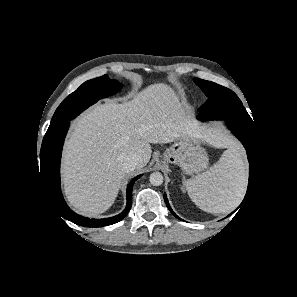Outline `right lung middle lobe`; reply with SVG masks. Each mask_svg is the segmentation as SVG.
Here are the masks:
<instances>
[{"label": "right lung middle lobe", "instance_id": "dd1d6c3e", "mask_svg": "<svg viewBox=\"0 0 297 297\" xmlns=\"http://www.w3.org/2000/svg\"><path fill=\"white\" fill-rule=\"evenodd\" d=\"M120 88L121 84L109 79L108 75L84 82L58 106L46 133L60 129L90 105L101 98L115 94Z\"/></svg>", "mask_w": 297, "mask_h": 297}]
</instances>
